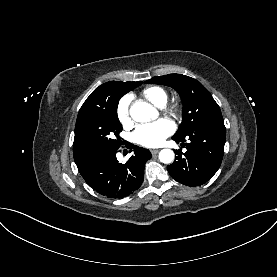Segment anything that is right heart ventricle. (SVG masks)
<instances>
[{
  "mask_svg": "<svg viewBox=\"0 0 277 277\" xmlns=\"http://www.w3.org/2000/svg\"><path fill=\"white\" fill-rule=\"evenodd\" d=\"M141 96L156 107L164 106L168 99L167 92L160 86H150L143 89Z\"/></svg>",
  "mask_w": 277,
  "mask_h": 277,
  "instance_id": "e07e8e85",
  "label": "right heart ventricle"
}]
</instances>
